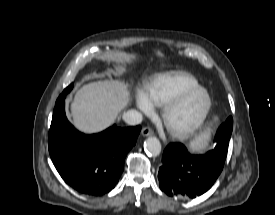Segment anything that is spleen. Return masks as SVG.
I'll use <instances>...</instances> for the list:
<instances>
[{
	"instance_id": "spleen-1",
	"label": "spleen",
	"mask_w": 275,
	"mask_h": 215,
	"mask_svg": "<svg viewBox=\"0 0 275 215\" xmlns=\"http://www.w3.org/2000/svg\"><path fill=\"white\" fill-rule=\"evenodd\" d=\"M210 130H208L207 132L201 134L199 137H197L193 142H192V147L195 150H200L201 148L204 147L203 143L207 138V135L209 133Z\"/></svg>"
}]
</instances>
